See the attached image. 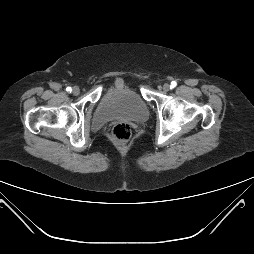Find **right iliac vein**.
I'll use <instances>...</instances> for the list:
<instances>
[{"label": "right iliac vein", "mask_w": 254, "mask_h": 254, "mask_svg": "<svg viewBox=\"0 0 254 254\" xmlns=\"http://www.w3.org/2000/svg\"><path fill=\"white\" fill-rule=\"evenodd\" d=\"M72 93H73L75 96L79 95V94H80V88L77 87V86H75V87L73 88V90H72Z\"/></svg>", "instance_id": "obj_1"}]
</instances>
